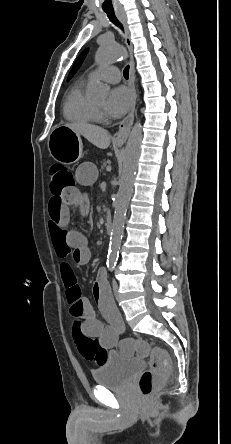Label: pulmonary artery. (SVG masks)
<instances>
[{
    "label": "pulmonary artery",
    "mask_w": 231,
    "mask_h": 444,
    "mask_svg": "<svg viewBox=\"0 0 231 444\" xmlns=\"http://www.w3.org/2000/svg\"><path fill=\"white\" fill-rule=\"evenodd\" d=\"M87 78L90 80L101 79L106 82L116 83L120 80V72L115 66H105L91 71Z\"/></svg>",
    "instance_id": "pulmonary-artery-1"
}]
</instances>
